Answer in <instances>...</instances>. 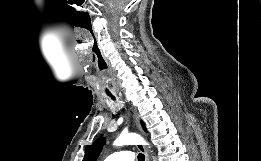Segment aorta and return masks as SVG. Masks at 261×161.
I'll list each match as a JSON object with an SVG mask.
<instances>
[{"label": "aorta", "mask_w": 261, "mask_h": 161, "mask_svg": "<svg viewBox=\"0 0 261 161\" xmlns=\"http://www.w3.org/2000/svg\"><path fill=\"white\" fill-rule=\"evenodd\" d=\"M143 142V139L135 133H126L121 134L114 142L115 146L123 145H137L138 143Z\"/></svg>", "instance_id": "762f6f07"}]
</instances>
